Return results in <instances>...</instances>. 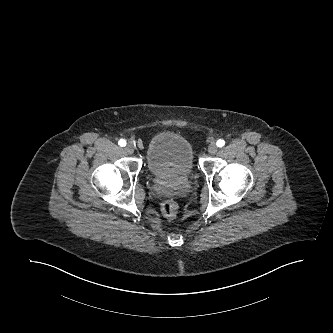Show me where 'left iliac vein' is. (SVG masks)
<instances>
[{"mask_svg": "<svg viewBox=\"0 0 333 333\" xmlns=\"http://www.w3.org/2000/svg\"><path fill=\"white\" fill-rule=\"evenodd\" d=\"M218 148H217V145L215 142H211L210 145L208 146V152L211 154V155H214L216 154Z\"/></svg>", "mask_w": 333, "mask_h": 333, "instance_id": "obj_1", "label": "left iliac vein"}]
</instances>
